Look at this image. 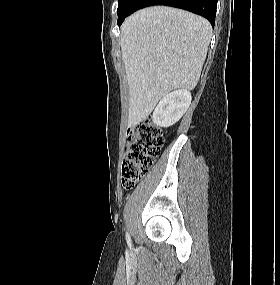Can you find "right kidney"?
Listing matches in <instances>:
<instances>
[{
    "mask_svg": "<svg viewBox=\"0 0 280 285\" xmlns=\"http://www.w3.org/2000/svg\"><path fill=\"white\" fill-rule=\"evenodd\" d=\"M191 100V93L187 89L176 90L165 95L153 112V122L159 127L174 125L185 114Z\"/></svg>",
    "mask_w": 280,
    "mask_h": 285,
    "instance_id": "obj_1",
    "label": "right kidney"
}]
</instances>
